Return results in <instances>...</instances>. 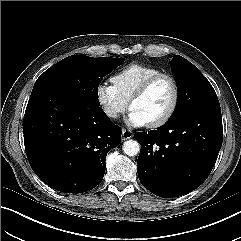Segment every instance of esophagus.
<instances>
[{
    "mask_svg": "<svg viewBox=\"0 0 241 241\" xmlns=\"http://www.w3.org/2000/svg\"><path fill=\"white\" fill-rule=\"evenodd\" d=\"M133 137V132L130 130L122 129V139L127 140Z\"/></svg>",
    "mask_w": 241,
    "mask_h": 241,
    "instance_id": "esophagus-1",
    "label": "esophagus"
}]
</instances>
